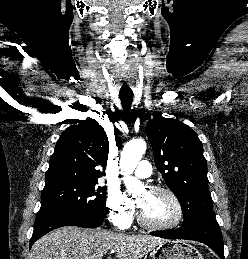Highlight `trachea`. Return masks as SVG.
<instances>
[{"mask_svg":"<svg viewBox=\"0 0 248 259\" xmlns=\"http://www.w3.org/2000/svg\"><path fill=\"white\" fill-rule=\"evenodd\" d=\"M119 97L124 111L128 113L131 109V104L133 101V92H120Z\"/></svg>","mask_w":248,"mask_h":259,"instance_id":"1","label":"trachea"}]
</instances>
